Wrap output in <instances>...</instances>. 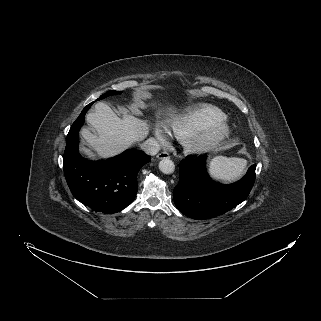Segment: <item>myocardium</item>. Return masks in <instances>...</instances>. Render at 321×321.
I'll list each match as a JSON object with an SVG mask.
<instances>
[{"label":"myocardium","mask_w":321,"mask_h":321,"mask_svg":"<svg viewBox=\"0 0 321 321\" xmlns=\"http://www.w3.org/2000/svg\"><path fill=\"white\" fill-rule=\"evenodd\" d=\"M231 132L229 122L224 118L202 127L184 141L185 148L193 154H204L218 148Z\"/></svg>","instance_id":"myocardium-1"}]
</instances>
